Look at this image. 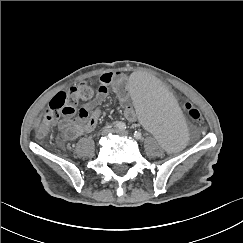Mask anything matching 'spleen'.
I'll return each mask as SVG.
<instances>
[{"mask_svg":"<svg viewBox=\"0 0 243 243\" xmlns=\"http://www.w3.org/2000/svg\"><path fill=\"white\" fill-rule=\"evenodd\" d=\"M125 89L135 101L136 119L149 128L161 147L176 152L188 144L189 127L176 98L152 73L133 72L126 80Z\"/></svg>","mask_w":243,"mask_h":243,"instance_id":"spleen-1","label":"spleen"}]
</instances>
